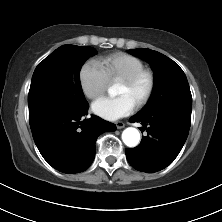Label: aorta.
I'll return each instance as SVG.
<instances>
[{
    "label": "aorta",
    "instance_id": "1",
    "mask_svg": "<svg viewBox=\"0 0 222 222\" xmlns=\"http://www.w3.org/2000/svg\"><path fill=\"white\" fill-rule=\"evenodd\" d=\"M109 93L111 95H115L116 94L115 88L110 87ZM122 140L126 146L131 148L136 147L140 142V133L136 128L128 127L122 133Z\"/></svg>",
    "mask_w": 222,
    "mask_h": 222
}]
</instances>
